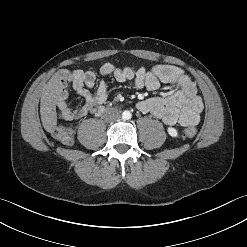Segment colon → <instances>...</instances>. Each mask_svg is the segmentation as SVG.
Here are the masks:
<instances>
[{
	"label": "colon",
	"instance_id": "1",
	"mask_svg": "<svg viewBox=\"0 0 247 247\" xmlns=\"http://www.w3.org/2000/svg\"><path fill=\"white\" fill-rule=\"evenodd\" d=\"M197 133V130L195 127H188L183 130L181 136L183 138H193ZM53 134L56 139L61 141L64 144H70L72 142L73 136H72V130L71 128L65 126V125H58L53 131Z\"/></svg>",
	"mask_w": 247,
	"mask_h": 247
}]
</instances>
